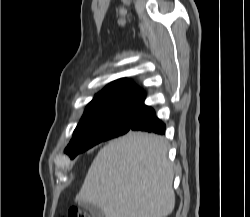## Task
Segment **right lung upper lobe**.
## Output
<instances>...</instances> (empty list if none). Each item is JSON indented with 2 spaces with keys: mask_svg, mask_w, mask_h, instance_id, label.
<instances>
[{
  "mask_svg": "<svg viewBox=\"0 0 250 217\" xmlns=\"http://www.w3.org/2000/svg\"><path fill=\"white\" fill-rule=\"evenodd\" d=\"M145 100L144 92L127 78L118 79L108 84L88 104L84 115L113 110L123 107L142 105Z\"/></svg>",
  "mask_w": 250,
  "mask_h": 217,
  "instance_id": "cb5924a9",
  "label": "right lung upper lobe"
}]
</instances>
